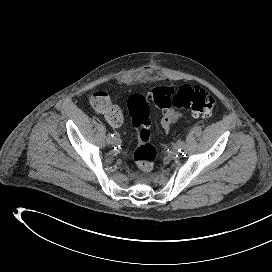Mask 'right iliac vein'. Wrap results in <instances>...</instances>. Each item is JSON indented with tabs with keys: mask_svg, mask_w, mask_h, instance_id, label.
Segmentation results:
<instances>
[{
	"mask_svg": "<svg viewBox=\"0 0 272 272\" xmlns=\"http://www.w3.org/2000/svg\"><path fill=\"white\" fill-rule=\"evenodd\" d=\"M106 141H107L108 144L116 145V144H118V143L120 142V137H118L117 140L113 141V140H111L110 137L108 136L107 139H106Z\"/></svg>",
	"mask_w": 272,
	"mask_h": 272,
	"instance_id": "63e3f726",
	"label": "right iliac vein"
}]
</instances>
